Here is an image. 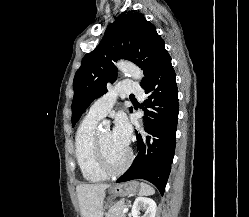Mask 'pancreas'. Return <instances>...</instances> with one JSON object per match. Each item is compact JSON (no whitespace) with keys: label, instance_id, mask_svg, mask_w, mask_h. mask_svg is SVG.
<instances>
[{"label":"pancreas","instance_id":"obj_1","mask_svg":"<svg viewBox=\"0 0 249 217\" xmlns=\"http://www.w3.org/2000/svg\"><path fill=\"white\" fill-rule=\"evenodd\" d=\"M125 206L126 204L123 200L118 201L108 210L106 217H125V214H123Z\"/></svg>","mask_w":249,"mask_h":217}]
</instances>
